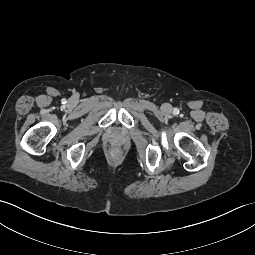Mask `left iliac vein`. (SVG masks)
<instances>
[{
  "instance_id": "obj_1",
  "label": "left iliac vein",
  "mask_w": 255,
  "mask_h": 255,
  "mask_svg": "<svg viewBox=\"0 0 255 255\" xmlns=\"http://www.w3.org/2000/svg\"><path fill=\"white\" fill-rule=\"evenodd\" d=\"M162 109H163V111H164L165 113H170V112L172 111V107H171L170 104H164V105L162 106Z\"/></svg>"
}]
</instances>
